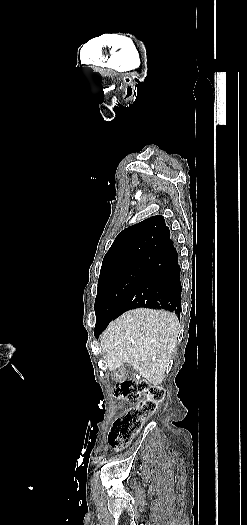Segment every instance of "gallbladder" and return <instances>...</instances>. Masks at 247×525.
<instances>
[{
    "mask_svg": "<svg viewBox=\"0 0 247 525\" xmlns=\"http://www.w3.org/2000/svg\"><path fill=\"white\" fill-rule=\"evenodd\" d=\"M121 373L122 375H135L133 365L131 363H124Z\"/></svg>",
    "mask_w": 247,
    "mask_h": 525,
    "instance_id": "obj_1",
    "label": "gallbladder"
}]
</instances>
